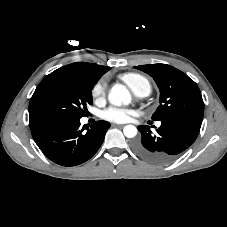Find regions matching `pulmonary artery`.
<instances>
[{
    "label": "pulmonary artery",
    "mask_w": 227,
    "mask_h": 227,
    "mask_svg": "<svg viewBox=\"0 0 227 227\" xmlns=\"http://www.w3.org/2000/svg\"><path fill=\"white\" fill-rule=\"evenodd\" d=\"M138 96H146L145 93L138 94Z\"/></svg>",
    "instance_id": "1"
}]
</instances>
